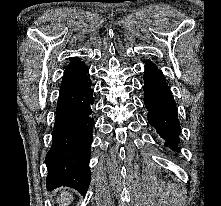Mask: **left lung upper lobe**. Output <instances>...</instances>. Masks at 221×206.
Segmentation results:
<instances>
[{"label":"left lung upper lobe","instance_id":"5c2ea615","mask_svg":"<svg viewBox=\"0 0 221 206\" xmlns=\"http://www.w3.org/2000/svg\"><path fill=\"white\" fill-rule=\"evenodd\" d=\"M146 67L148 68H156V66L152 62H147Z\"/></svg>","mask_w":221,"mask_h":206}]
</instances>
